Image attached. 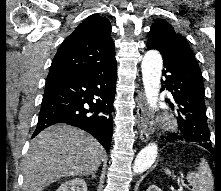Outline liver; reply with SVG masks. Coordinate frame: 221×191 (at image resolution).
<instances>
[{
	"mask_svg": "<svg viewBox=\"0 0 221 191\" xmlns=\"http://www.w3.org/2000/svg\"><path fill=\"white\" fill-rule=\"evenodd\" d=\"M104 156V148L91 135L70 125H53L30 144L23 166V189L42 191L60 178L96 172Z\"/></svg>",
	"mask_w": 221,
	"mask_h": 191,
	"instance_id": "6515ba94",
	"label": "liver"
}]
</instances>
